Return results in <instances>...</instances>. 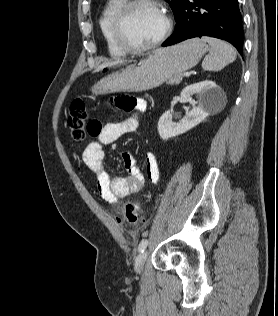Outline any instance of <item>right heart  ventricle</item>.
<instances>
[{
    "label": "right heart ventricle",
    "instance_id": "e07e8e85",
    "mask_svg": "<svg viewBox=\"0 0 278 316\" xmlns=\"http://www.w3.org/2000/svg\"><path fill=\"white\" fill-rule=\"evenodd\" d=\"M126 0H107L99 16V28L106 48L112 57L119 58L127 52L117 43L113 32V19Z\"/></svg>",
    "mask_w": 278,
    "mask_h": 316
}]
</instances>
